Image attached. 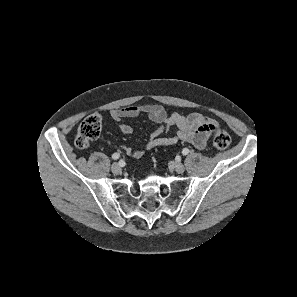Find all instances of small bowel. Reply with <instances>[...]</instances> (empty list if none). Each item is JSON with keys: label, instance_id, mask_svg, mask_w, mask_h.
Masks as SVG:
<instances>
[{"label": "small bowel", "instance_id": "obj_1", "mask_svg": "<svg viewBox=\"0 0 297 297\" xmlns=\"http://www.w3.org/2000/svg\"><path fill=\"white\" fill-rule=\"evenodd\" d=\"M138 116H147L155 123L156 127L150 133L143 150H127L129 155L137 159L143 157L145 151L160 146L175 145L179 141L190 143L198 149H204L217 126L215 120L200 113L182 115L173 112L168 114L158 104H136L110 112V117L118 124L120 131L127 135L133 133V127L123 123L122 119ZM171 129L176 130L174 134L169 133ZM162 133H166V136L161 137Z\"/></svg>", "mask_w": 297, "mask_h": 297}]
</instances>
